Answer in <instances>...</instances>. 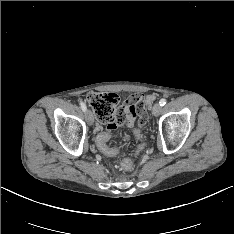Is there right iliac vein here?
<instances>
[{
    "instance_id": "1",
    "label": "right iliac vein",
    "mask_w": 234,
    "mask_h": 234,
    "mask_svg": "<svg viewBox=\"0 0 234 234\" xmlns=\"http://www.w3.org/2000/svg\"><path fill=\"white\" fill-rule=\"evenodd\" d=\"M85 116H86L87 123L89 125H92L93 122H94V118H93V115H92L91 111L90 110H86L85 111Z\"/></svg>"
}]
</instances>
